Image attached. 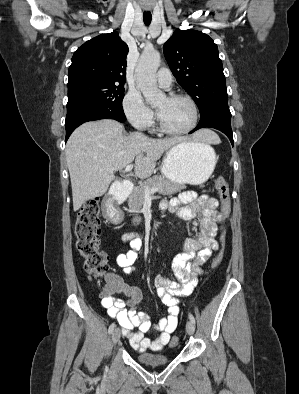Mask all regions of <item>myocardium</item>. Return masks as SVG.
Instances as JSON below:
<instances>
[{
  "instance_id": "f54148a6",
  "label": "myocardium",
  "mask_w": 299,
  "mask_h": 394,
  "mask_svg": "<svg viewBox=\"0 0 299 394\" xmlns=\"http://www.w3.org/2000/svg\"><path fill=\"white\" fill-rule=\"evenodd\" d=\"M166 97L170 100L181 99V100L187 101L191 105L192 110H193V121H192L191 125L185 129H181V130L172 129V128H169L163 122L161 116L159 115V113L157 111L156 117H157V123H158L159 129L161 131H163L164 133H167L170 135H183V134H187V133L191 132L197 126L198 120H199V109H198L196 102L193 100V98H191L190 96L185 95V94L171 93V94H168Z\"/></svg>"
}]
</instances>
